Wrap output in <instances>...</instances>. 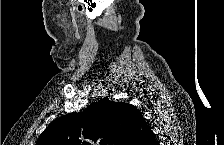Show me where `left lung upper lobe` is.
I'll return each mask as SVG.
<instances>
[{
    "mask_svg": "<svg viewBox=\"0 0 224 145\" xmlns=\"http://www.w3.org/2000/svg\"><path fill=\"white\" fill-rule=\"evenodd\" d=\"M139 110L104 98L53 121L36 145H128Z\"/></svg>",
    "mask_w": 224,
    "mask_h": 145,
    "instance_id": "5c2ea615",
    "label": "left lung upper lobe"
}]
</instances>
